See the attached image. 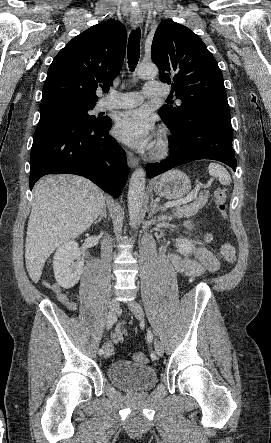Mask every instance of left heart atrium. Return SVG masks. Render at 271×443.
I'll return each instance as SVG.
<instances>
[{"label": "left heart atrium", "mask_w": 271, "mask_h": 443, "mask_svg": "<svg viewBox=\"0 0 271 443\" xmlns=\"http://www.w3.org/2000/svg\"><path fill=\"white\" fill-rule=\"evenodd\" d=\"M154 123L143 109L124 111L117 116L114 135L121 142L135 149H145L152 145Z\"/></svg>", "instance_id": "left-heart-atrium-1"}]
</instances>
